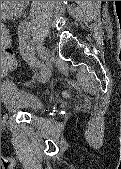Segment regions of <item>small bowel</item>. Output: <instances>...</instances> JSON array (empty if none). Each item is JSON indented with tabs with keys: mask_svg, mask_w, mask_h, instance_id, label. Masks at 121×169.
Segmentation results:
<instances>
[{
	"mask_svg": "<svg viewBox=\"0 0 121 169\" xmlns=\"http://www.w3.org/2000/svg\"><path fill=\"white\" fill-rule=\"evenodd\" d=\"M5 3L2 7L1 17L3 20L14 19L20 16L27 1H12ZM2 42L7 41L10 44V39L4 34L2 36Z\"/></svg>",
	"mask_w": 121,
	"mask_h": 169,
	"instance_id": "obj_1",
	"label": "small bowel"
}]
</instances>
